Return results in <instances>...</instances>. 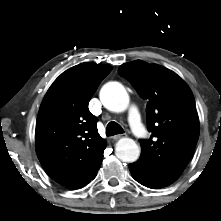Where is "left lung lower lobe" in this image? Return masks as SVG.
Listing matches in <instances>:
<instances>
[{
    "instance_id": "obj_1",
    "label": "left lung lower lobe",
    "mask_w": 221,
    "mask_h": 221,
    "mask_svg": "<svg viewBox=\"0 0 221 221\" xmlns=\"http://www.w3.org/2000/svg\"><path fill=\"white\" fill-rule=\"evenodd\" d=\"M129 169H130V172H131L133 178L136 181H138L139 183H141L142 185H144L146 187H149V184L143 179L142 170L136 164V162L129 164Z\"/></svg>"
}]
</instances>
